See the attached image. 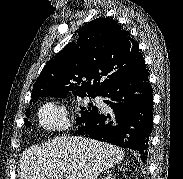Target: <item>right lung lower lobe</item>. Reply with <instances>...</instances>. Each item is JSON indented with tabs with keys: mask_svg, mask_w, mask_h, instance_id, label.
I'll return each mask as SVG.
<instances>
[{
	"mask_svg": "<svg viewBox=\"0 0 183 179\" xmlns=\"http://www.w3.org/2000/svg\"><path fill=\"white\" fill-rule=\"evenodd\" d=\"M152 86L144 64L133 74L110 84L99 94L113 109L97 111L75 134L134 150L146 162L153 128Z\"/></svg>",
	"mask_w": 183,
	"mask_h": 179,
	"instance_id": "obj_1",
	"label": "right lung lower lobe"
}]
</instances>
